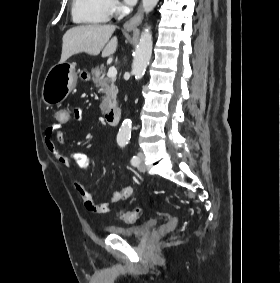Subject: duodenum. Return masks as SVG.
Listing matches in <instances>:
<instances>
[{
    "instance_id": "obj_1",
    "label": "duodenum",
    "mask_w": 280,
    "mask_h": 283,
    "mask_svg": "<svg viewBox=\"0 0 280 283\" xmlns=\"http://www.w3.org/2000/svg\"><path fill=\"white\" fill-rule=\"evenodd\" d=\"M120 116L121 109L119 107H113L105 112V120L111 126L118 124Z\"/></svg>"
}]
</instances>
